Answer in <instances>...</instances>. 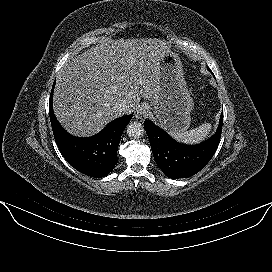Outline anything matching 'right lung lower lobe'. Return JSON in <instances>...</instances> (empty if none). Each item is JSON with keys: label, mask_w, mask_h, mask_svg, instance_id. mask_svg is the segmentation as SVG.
<instances>
[{"label": "right lung lower lobe", "mask_w": 272, "mask_h": 272, "mask_svg": "<svg viewBox=\"0 0 272 272\" xmlns=\"http://www.w3.org/2000/svg\"><path fill=\"white\" fill-rule=\"evenodd\" d=\"M55 82L49 100V115L55 141L65 160L79 172L91 177H104L117 164L121 135L132 115L110 122L100 133L89 138L68 134L57 121L52 107Z\"/></svg>", "instance_id": "obj_1"}]
</instances>
